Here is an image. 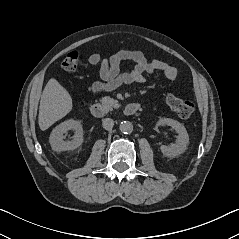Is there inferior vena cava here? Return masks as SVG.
Segmentation results:
<instances>
[{"label": "inferior vena cava", "instance_id": "obj_1", "mask_svg": "<svg viewBox=\"0 0 239 239\" xmlns=\"http://www.w3.org/2000/svg\"><path fill=\"white\" fill-rule=\"evenodd\" d=\"M102 125L105 130H111L114 126V121L111 118H105L103 119Z\"/></svg>", "mask_w": 239, "mask_h": 239}]
</instances>
